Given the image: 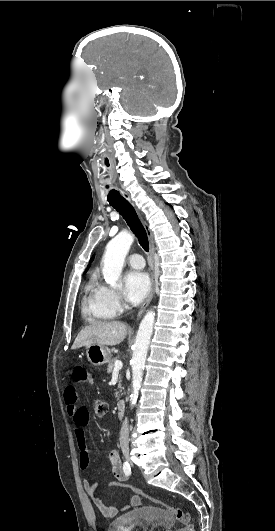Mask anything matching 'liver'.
<instances>
[{
  "label": "liver",
  "instance_id": "1",
  "mask_svg": "<svg viewBox=\"0 0 275 531\" xmlns=\"http://www.w3.org/2000/svg\"><path fill=\"white\" fill-rule=\"evenodd\" d=\"M127 335V327L124 323L119 321H111V323H91L88 327H84L77 335L71 349H80L86 347L91 343H98V345H119L124 341Z\"/></svg>",
  "mask_w": 275,
  "mask_h": 531
}]
</instances>
